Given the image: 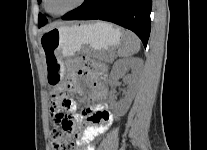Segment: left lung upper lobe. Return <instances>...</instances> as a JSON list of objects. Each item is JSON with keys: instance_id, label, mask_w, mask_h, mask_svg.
<instances>
[{"instance_id": "left-lung-upper-lobe-1", "label": "left lung upper lobe", "mask_w": 207, "mask_h": 150, "mask_svg": "<svg viewBox=\"0 0 207 150\" xmlns=\"http://www.w3.org/2000/svg\"><path fill=\"white\" fill-rule=\"evenodd\" d=\"M40 2H41V0H38V3H40ZM47 22L48 21H47L46 17L42 14H39V19H38L39 27L44 26Z\"/></svg>"}]
</instances>
